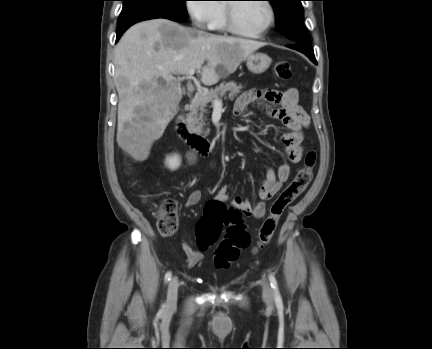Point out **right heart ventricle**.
Wrapping results in <instances>:
<instances>
[{
  "label": "right heart ventricle",
  "mask_w": 432,
  "mask_h": 349,
  "mask_svg": "<svg viewBox=\"0 0 432 349\" xmlns=\"http://www.w3.org/2000/svg\"><path fill=\"white\" fill-rule=\"evenodd\" d=\"M218 12L212 23L211 28L217 31L226 30V4L218 3Z\"/></svg>",
  "instance_id": "obj_1"
}]
</instances>
